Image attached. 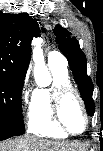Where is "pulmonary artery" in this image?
I'll return each instance as SVG.
<instances>
[{
    "label": "pulmonary artery",
    "mask_w": 103,
    "mask_h": 151,
    "mask_svg": "<svg viewBox=\"0 0 103 151\" xmlns=\"http://www.w3.org/2000/svg\"><path fill=\"white\" fill-rule=\"evenodd\" d=\"M48 64L59 66L61 68L67 69V60L66 58L57 51H51L48 55Z\"/></svg>",
    "instance_id": "pulmonary-artery-1"
}]
</instances>
